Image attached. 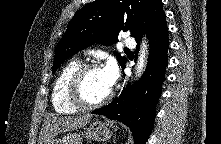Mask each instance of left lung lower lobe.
<instances>
[{"label":"left lung lower lobe","instance_id":"1","mask_svg":"<svg viewBox=\"0 0 221 144\" xmlns=\"http://www.w3.org/2000/svg\"><path fill=\"white\" fill-rule=\"evenodd\" d=\"M148 38L150 49L147 68L139 81L127 86L120 96L107 106L92 112L126 124L132 131L136 144L146 143L153 127L155 107L162 94L169 49L165 15L148 34ZM139 42L140 40H137V43Z\"/></svg>","mask_w":221,"mask_h":144}]
</instances>
